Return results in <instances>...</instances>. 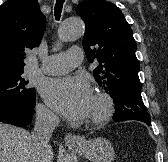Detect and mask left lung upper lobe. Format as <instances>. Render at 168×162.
<instances>
[{
    "label": "left lung upper lobe",
    "instance_id": "1",
    "mask_svg": "<svg viewBox=\"0 0 168 162\" xmlns=\"http://www.w3.org/2000/svg\"><path fill=\"white\" fill-rule=\"evenodd\" d=\"M86 31L83 48L90 63H100L94 72L97 83L113 100L140 95L137 44L123 13L106 0H86L76 8Z\"/></svg>",
    "mask_w": 168,
    "mask_h": 162
}]
</instances>
